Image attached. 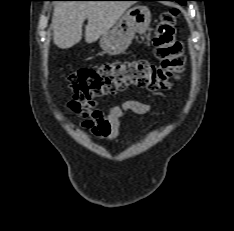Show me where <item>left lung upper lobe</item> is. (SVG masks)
<instances>
[{"label": "left lung upper lobe", "instance_id": "left-lung-upper-lobe-1", "mask_svg": "<svg viewBox=\"0 0 234 231\" xmlns=\"http://www.w3.org/2000/svg\"><path fill=\"white\" fill-rule=\"evenodd\" d=\"M176 1L179 2L180 4L185 5V4H186V1H190V0H176Z\"/></svg>", "mask_w": 234, "mask_h": 231}]
</instances>
